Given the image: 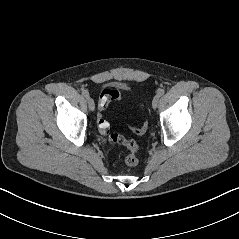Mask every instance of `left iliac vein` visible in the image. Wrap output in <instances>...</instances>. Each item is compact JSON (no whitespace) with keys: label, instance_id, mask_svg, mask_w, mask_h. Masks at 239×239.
<instances>
[{"label":"left iliac vein","instance_id":"4c4485c4","mask_svg":"<svg viewBox=\"0 0 239 239\" xmlns=\"http://www.w3.org/2000/svg\"><path fill=\"white\" fill-rule=\"evenodd\" d=\"M159 101H160V96L159 95H155L154 98H153V101H152L153 109L157 108V106L159 104Z\"/></svg>","mask_w":239,"mask_h":239}]
</instances>
